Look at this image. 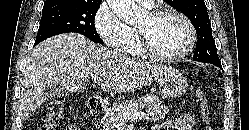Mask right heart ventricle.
Listing matches in <instances>:
<instances>
[{
  "label": "right heart ventricle",
  "mask_w": 249,
  "mask_h": 130,
  "mask_svg": "<svg viewBox=\"0 0 249 130\" xmlns=\"http://www.w3.org/2000/svg\"><path fill=\"white\" fill-rule=\"evenodd\" d=\"M123 51L132 56H141L144 54L140 45L137 30L133 27L128 26V36Z\"/></svg>",
  "instance_id": "1"
}]
</instances>
